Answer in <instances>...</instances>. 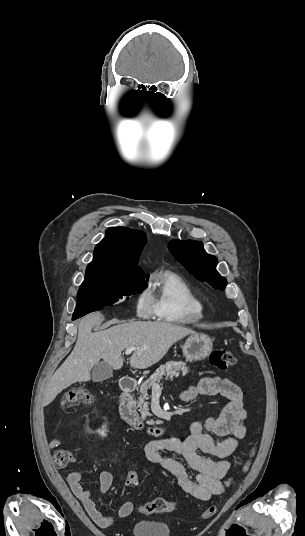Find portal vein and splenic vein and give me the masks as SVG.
<instances>
[{"mask_svg": "<svg viewBox=\"0 0 305 536\" xmlns=\"http://www.w3.org/2000/svg\"><path fill=\"white\" fill-rule=\"evenodd\" d=\"M133 350H137V348H127V350H125L126 356H129V354H132ZM152 388H160V386L159 384H153Z\"/></svg>", "mask_w": 305, "mask_h": 536, "instance_id": "portal-vein-and-splenic-vein-1", "label": "portal vein and splenic vein"}]
</instances>
